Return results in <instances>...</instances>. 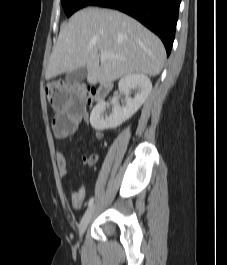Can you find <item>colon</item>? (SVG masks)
Instances as JSON below:
<instances>
[{
  "label": "colon",
  "mask_w": 227,
  "mask_h": 265,
  "mask_svg": "<svg viewBox=\"0 0 227 265\" xmlns=\"http://www.w3.org/2000/svg\"><path fill=\"white\" fill-rule=\"evenodd\" d=\"M56 87H79V91H84V96L88 104L92 102L94 97L93 91L85 85L67 84L62 82H50L45 86V94L50 101H51V96H54V91H56Z\"/></svg>",
  "instance_id": "1"
}]
</instances>
